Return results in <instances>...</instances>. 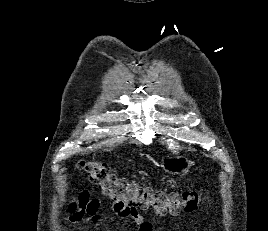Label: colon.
Returning a JSON list of instances; mask_svg holds the SVG:
<instances>
[{
  "mask_svg": "<svg viewBox=\"0 0 268 231\" xmlns=\"http://www.w3.org/2000/svg\"><path fill=\"white\" fill-rule=\"evenodd\" d=\"M80 167L89 180L120 208L139 206L153 208L158 213L178 215L181 212H195L203 203V198L194 191L164 192L127 182L111 173L102 162L82 161Z\"/></svg>",
  "mask_w": 268,
  "mask_h": 231,
  "instance_id": "5ec220e1",
  "label": "colon"
}]
</instances>
